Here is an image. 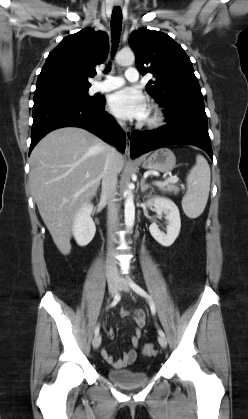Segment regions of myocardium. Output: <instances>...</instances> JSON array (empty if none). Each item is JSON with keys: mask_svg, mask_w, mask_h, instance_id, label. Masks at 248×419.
<instances>
[{"mask_svg": "<svg viewBox=\"0 0 248 419\" xmlns=\"http://www.w3.org/2000/svg\"><path fill=\"white\" fill-rule=\"evenodd\" d=\"M164 120V114L162 110L156 106L152 105L150 108V113L148 118L145 121V124L148 128H156L161 125Z\"/></svg>", "mask_w": 248, "mask_h": 419, "instance_id": "1", "label": "myocardium"}]
</instances>
